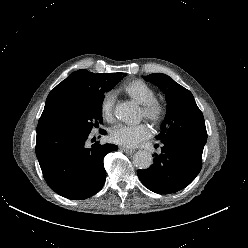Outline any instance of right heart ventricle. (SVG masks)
Masks as SVG:
<instances>
[{"mask_svg": "<svg viewBox=\"0 0 248 248\" xmlns=\"http://www.w3.org/2000/svg\"><path fill=\"white\" fill-rule=\"evenodd\" d=\"M122 90L138 104H144L156 98L155 90L141 80H133L124 84Z\"/></svg>", "mask_w": 248, "mask_h": 248, "instance_id": "obj_1", "label": "right heart ventricle"}]
</instances>
